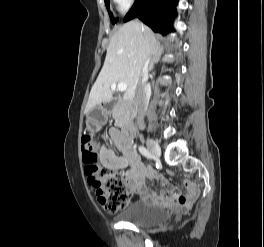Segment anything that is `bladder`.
Wrapping results in <instances>:
<instances>
[{"instance_id": "31cf9c89", "label": "bladder", "mask_w": 264, "mask_h": 247, "mask_svg": "<svg viewBox=\"0 0 264 247\" xmlns=\"http://www.w3.org/2000/svg\"><path fill=\"white\" fill-rule=\"evenodd\" d=\"M170 212L168 209L151 205L143 201H136L126 208L119 218L143 228H155L168 222Z\"/></svg>"}]
</instances>
